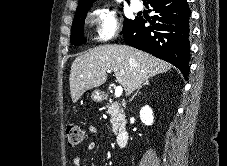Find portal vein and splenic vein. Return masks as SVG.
<instances>
[{
    "label": "portal vein and splenic vein",
    "mask_w": 227,
    "mask_h": 166,
    "mask_svg": "<svg viewBox=\"0 0 227 166\" xmlns=\"http://www.w3.org/2000/svg\"><path fill=\"white\" fill-rule=\"evenodd\" d=\"M107 72H108V73H111L110 70H108ZM122 92H123V89H122L121 86H117V87L115 88V96H116L117 98H119V97L122 95Z\"/></svg>",
    "instance_id": "obj_1"
}]
</instances>
